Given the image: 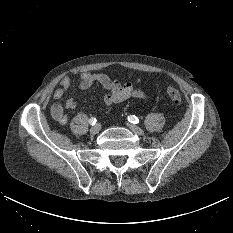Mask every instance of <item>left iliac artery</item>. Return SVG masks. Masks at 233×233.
<instances>
[{"label": "left iliac artery", "instance_id": "1", "mask_svg": "<svg viewBox=\"0 0 233 233\" xmlns=\"http://www.w3.org/2000/svg\"><path fill=\"white\" fill-rule=\"evenodd\" d=\"M128 121L131 123L137 124L139 122V119L135 115H130L128 116Z\"/></svg>", "mask_w": 233, "mask_h": 233}]
</instances>
